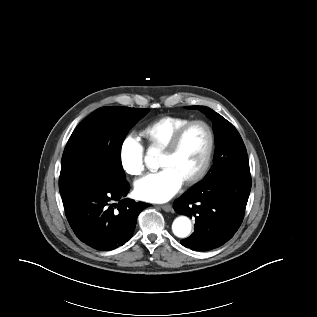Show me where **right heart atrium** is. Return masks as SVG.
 <instances>
[{
  "mask_svg": "<svg viewBox=\"0 0 317 317\" xmlns=\"http://www.w3.org/2000/svg\"><path fill=\"white\" fill-rule=\"evenodd\" d=\"M119 162L128 175L139 176L144 172V147L135 136L129 135L121 142Z\"/></svg>",
  "mask_w": 317,
  "mask_h": 317,
  "instance_id": "right-heart-atrium-1",
  "label": "right heart atrium"
}]
</instances>
